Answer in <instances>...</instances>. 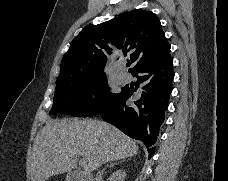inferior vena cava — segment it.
Returning <instances> with one entry per match:
<instances>
[{
  "mask_svg": "<svg viewBox=\"0 0 228 181\" xmlns=\"http://www.w3.org/2000/svg\"><path fill=\"white\" fill-rule=\"evenodd\" d=\"M103 171H98L97 175H96V181H102L103 177Z\"/></svg>",
  "mask_w": 228,
  "mask_h": 181,
  "instance_id": "inferior-vena-cava-1",
  "label": "inferior vena cava"
}]
</instances>
